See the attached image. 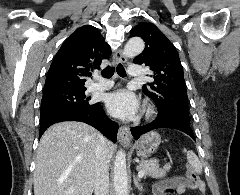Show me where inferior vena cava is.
<instances>
[{
	"instance_id": "602c4592",
	"label": "inferior vena cava",
	"mask_w": 240,
	"mask_h": 195,
	"mask_svg": "<svg viewBox=\"0 0 240 195\" xmlns=\"http://www.w3.org/2000/svg\"><path fill=\"white\" fill-rule=\"evenodd\" d=\"M108 139L102 137L96 149V171L94 175L95 195H107L109 191Z\"/></svg>"
}]
</instances>
